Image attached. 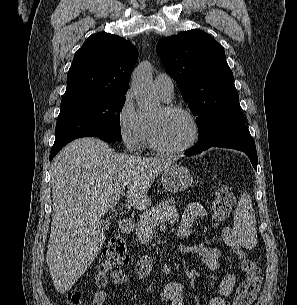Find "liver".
<instances>
[{"instance_id": "liver-1", "label": "liver", "mask_w": 297, "mask_h": 305, "mask_svg": "<svg viewBox=\"0 0 297 305\" xmlns=\"http://www.w3.org/2000/svg\"><path fill=\"white\" fill-rule=\"evenodd\" d=\"M174 159L117 154L86 137L65 146L51 163L53 213L46 261L58 293L68 292L95 260L105 235L100 218L127 188L126 201L148 207L154 179Z\"/></svg>"}]
</instances>
